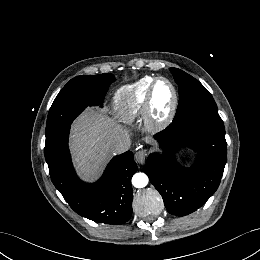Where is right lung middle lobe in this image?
Here are the masks:
<instances>
[{
  "instance_id": "dd1d6c3e",
  "label": "right lung middle lobe",
  "mask_w": 260,
  "mask_h": 260,
  "mask_svg": "<svg viewBox=\"0 0 260 260\" xmlns=\"http://www.w3.org/2000/svg\"><path fill=\"white\" fill-rule=\"evenodd\" d=\"M114 81L115 78L110 73L82 75L70 80L50 108L46 125V144L52 143L85 107L101 105L109 85Z\"/></svg>"
}]
</instances>
